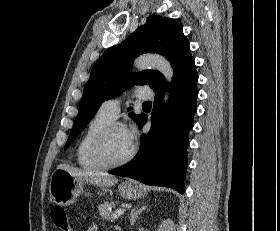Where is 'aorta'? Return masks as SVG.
Returning a JSON list of instances; mask_svg holds the SVG:
<instances>
[{
	"label": "aorta",
	"instance_id": "1",
	"mask_svg": "<svg viewBox=\"0 0 280 231\" xmlns=\"http://www.w3.org/2000/svg\"><path fill=\"white\" fill-rule=\"evenodd\" d=\"M134 66L138 70L155 68V70H159L165 76L167 82H171L173 78V68H171L170 62L166 58H163V56H158V54H145V56H140V58L135 60ZM164 100L166 102L168 96H165Z\"/></svg>",
	"mask_w": 280,
	"mask_h": 231
}]
</instances>
